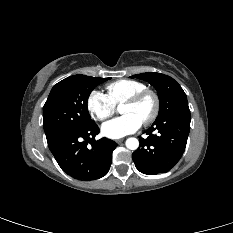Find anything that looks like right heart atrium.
I'll return each mask as SVG.
<instances>
[{
    "label": "right heart atrium",
    "mask_w": 233,
    "mask_h": 233,
    "mask_svg": "<svg viewBox=\"0 0 233 233\" xmlns=\"http://www.w3.org/2000/svg\"><path fill=\"white\" fill-rule=\"evenodd\" d=\"M87 109L93 119L103 121L112 116L115 106L105 94L94 90L87 98Z\"/></svg>",
    "instance_id": "right-heart-atrium-1"
}]
</instances>
